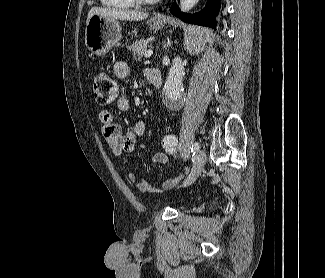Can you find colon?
<instances>
[{"label": "colon", "instance_id": "colon-1", "mask_svg": "<svg viewBox=\"0 0 325 278\" xmlns=\"http://www.w3.org/2000/svg\"><path fill=\"white\" fill-rule=\"evenodd\" d=\"M93 94L97 103L108 105L118 97V88L116 82L106 73H98L94 78ZM163 150L175 156L177 153V139L174 135H165L161 140Z\"/></svg>", "mask_w": 325, "mask_h": 278}]
</instances>
